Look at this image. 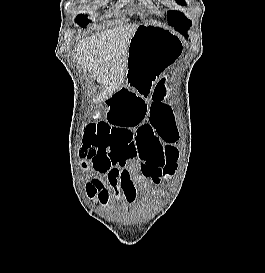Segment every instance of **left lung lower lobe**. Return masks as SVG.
I'll return each instance as SVG.
<instances>
[{
    "mask_svg": "<svg viewBox=\"0 0 265 273\" xmlns=\"http://www.w3.org/2000/svg\"><path fill=\"white\" fill-rule=\"evenodd\" d=\"M182 35H184L186 38L188 37L187 32H180Z\"/></svg>",
    "mask_w": 265,
    "mask_h": 273,
    "instance_id": "obj_1",
    "label": "left lung lower lobe"
}]
</instances>
